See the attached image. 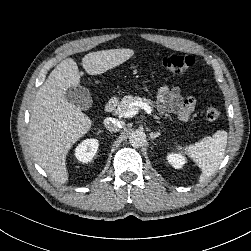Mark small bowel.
Masks as SVG:
<instances>
[{"instance_id": "obj_1", "label": "small bowel", "mask_w": 251, "mask_h": 251, "mask_svg": "<svg viewBox=\"0 0 251 251\" xmlns=\"http://www.w3.org/2000/svg\"><path fill=\"white\" fill-rule=\"evenodd\" d=\"M157 99L162 110L175 113L181 121L189 120L196 105L193 98H182L177 86H161L157 91Z\"/></svg>"}]
</instances>
